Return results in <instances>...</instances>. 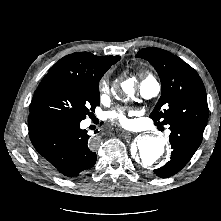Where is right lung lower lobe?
<instances>
[{
    "label": "right lung lower lobe",
    "instance_id": "1",
    "mask_svg": "<svg viewBox=\"0 0 221 221\" xmlns=\"http://www.w3.org/2000/svg\"><path fill=\"white\" fill-rule=\"evenodd\" d=\"M78 120L31 113L29 137L45 165L54 173L75 177L92 168L96 153L86 130Z\"/></svg>",
    "mask_w": 221,
    "mask_h": 221
}]
</instances>
